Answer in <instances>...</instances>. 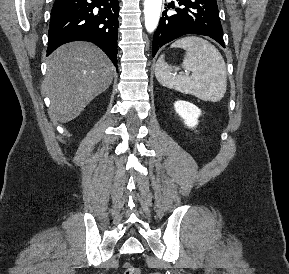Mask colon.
Instances as JSON below:
<instances>
[{"label": "colon", "instance_id": "1", "mask_svg": "<svg viewBox=\"0 0 289 274\" xmlns=\"http://www.w3.org/2000/svg\"><path fill=\"white\" fill-rule=\"evenodd\" d=\"M124 274H141V270L129 263L124 264Z\"/></svg>", "mask_w": 289, "mask_h": 274}]
</instances>
